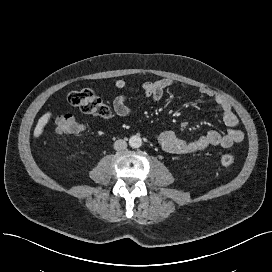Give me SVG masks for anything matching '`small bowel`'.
<instances>
[{"label": "small bowel", "instance_id": "obj_1", "mask_svg": "<svg viewBox=\"0 0 272 272\" xmlns=\"http://www.w3.org/2000/svg\"><path fill=\"white\" fill-rule=\"evenodd\" d=\"M175 85L179 84L174 80L164 78L144 82L141 85V91L145 97L153 101H159L163 97L165 90ZM114 86L117 89H124L127 87V82L123 79H119L115 82ZM181 86L187 88V86ZM200 93L203 96L212 98L215 104L220 108L222 120L228 128L227 131L224 133L208 131L192 140L183 139L172 131H163L156 135L157 142L163 150L173 154H187L202 151L212 146L229 148L233 144L243 141L244 133L239 129L240 120L229 101L211 89H201ZM113 107L115 113L120 117H126L131 113V108L128 106L127 98L124 95H119L115 98Z\"/></svg>", "mask_w": 272, "mask_h": 272}]
</instances>
